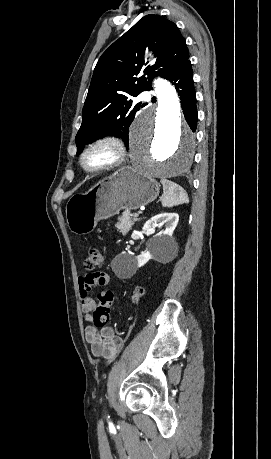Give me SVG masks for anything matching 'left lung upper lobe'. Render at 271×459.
Returning <instances> with one entry per match:
<instances>
[{
	"label": "left lung upper lobe",
	"instance_id": "left-lung-upper-lobe-1",
	"mask_svg": "<svg viewBox=\"0 0 271 459\" xmlns=\"http://www.w3.org/2000/svg\"><path fill=\"white\" fill-rule=\"evenodd\" d=\"M148 48L157 57L145 66ZM189 58L185 38L172 21L155 14L141 18L100 57L82 111L76 135L77 155L85 144L102 136H120L128 144L129 127L141 103L131 96L151 90L152 79L170 76Z\"/></svg>",
	"mask_w": 271,
	"mask_h": 459
}]
</instances>
